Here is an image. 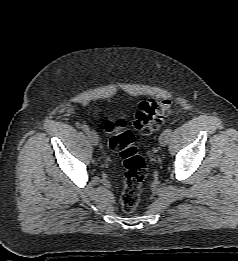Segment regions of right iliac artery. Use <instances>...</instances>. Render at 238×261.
I'll list each match as a JSON object with an SVG mask.
<instances>
[{
  "label": "right iliac artery",
  "mask_w": 238,
  "mask_h": 261,
  "mask_svg": "<svg viewBox=\"0 0 238 261\" xmlns=\"http://www.w3.org/2000/svg\"><path fill=\"white\" fill-rule=\"evenodd\" d=\"M82 129L85 133H88L90 131L89 127L87 125H83Z\"/></svg>",
  "instance_id": "82829eb1"
}]
</instances>
